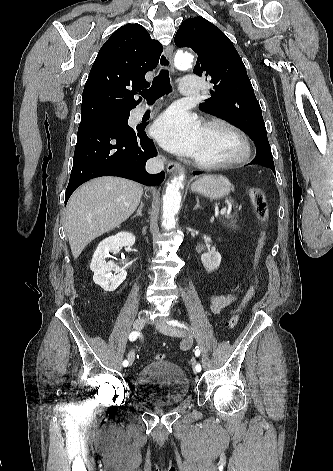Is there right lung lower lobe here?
Masks as SVG:
<instances>
[{"label":"right lung lower lobe","mask_w":333,"mask_h":471,"mask_svg":"<svg viewBox=\"0 0 333 471\" xmlns=\"http://www.w3.org/2000/svg\"><path fill=\"white\" fill-rule=\"evenodd\" d=\"M115 119L79 125L73 167L65 193V203L82 183L100 176H119L144 185H159L164 172L149 174L146 161L157 156L154 143L144 131Z\"/></svg>","instance_id":"1"}]
</instances>
